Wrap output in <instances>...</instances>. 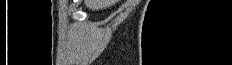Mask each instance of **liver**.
I'll use <instances>...</instances> for the list:
<instances>
[{
	"label": "liver",
	"instance_id": "1",
	"mask_svg": "<svg viewBox=\"0 0 232 65\" xmlns=\"http://www.w3.org/2000/svg\"><path fill=\"white\" fill-rule=\"evenodd\" d=\"M117 2L118 0H84L86 7L91 10H103Z\"/></svg>",
	"mask_w": 232,
	"mask_h": 65
}]
</instances>
